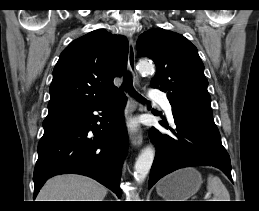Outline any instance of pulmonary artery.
Instances as JSON below:
<instances>
[{"mask_svg":"<svg viewBox=\"0 0 259 211\" xmlns=\"http://www.w3.org/2000/svg\"><path fill=\"white\" fill-rule=\"evenodd\" d=\"M150 97L154 100L159 101L162 104L169 120L173 122L174 119H173L172 107L169 100L164 96V94L158 90H151Z\"/></svg>","mask_w":259,"mask_h":211,"instance_id":"e3ab8cb5","label":"pulmonary artery"}]
</instances>
